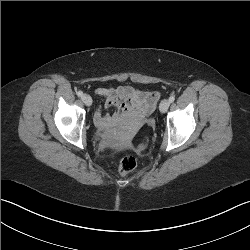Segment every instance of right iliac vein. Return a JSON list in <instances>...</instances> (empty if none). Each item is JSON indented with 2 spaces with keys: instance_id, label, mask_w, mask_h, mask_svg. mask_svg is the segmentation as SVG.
I'll return each mask as SVG.
<instances>
[{
  "instance_id": "obj_1",
  "label": "right iliac vein",
  "mask_w": 250,
  "mask_h": 250,
  "mask_svg": "<svg viewBox=\"0 0 250 250\" xmlns=\"http://www.w3.org/2000/svg\"><path fill=\"white\" fill-rule=\"evenodd\" d=\"M82 101H83V102L85 103V105H87V106L92 105V98H91V96L88 95V94H84V95L82 96Z\"/></svg>"
}]
</instances>
